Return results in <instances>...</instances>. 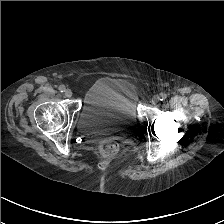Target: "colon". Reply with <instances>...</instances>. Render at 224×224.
Masks as SVG:
<instances>
[{"instance_id": "5ec220e1", "label": "colon", "mask_w": 224, "mask_h": 224, "mask_svg": "<svg viewBox=\"0 0 224 224\" xmlns=\"http://www.w3.org/2000/svg\"><path fill=\"white\" fill-rule=\"evenodd\" d=\"M117 150L118 145L113 141H106L101 144V151L106 155H113Z\"/></svg>"}]
</instances>
